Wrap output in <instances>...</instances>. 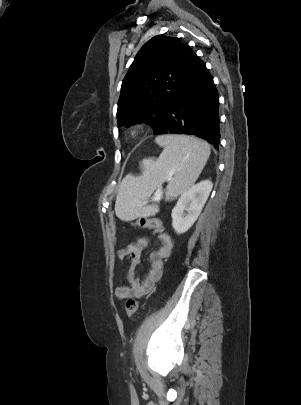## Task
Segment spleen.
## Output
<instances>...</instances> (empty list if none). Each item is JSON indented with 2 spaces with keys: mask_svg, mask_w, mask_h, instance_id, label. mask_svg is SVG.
<instances>
[{
  "mask_svg": "<svg viewBox=\"0 0 301 405\" xmlns=\"http://www.w3.org/2000/svg\"><path fill=\"white\" fill-rule=\"evenodd\" d=\"M155 141L164 148L159 158L144 159L142 175H127L121 182L115 203L116 216L121 220L154 214L157 208L145 207V201L165 179H169L166 194L171 198L184 193L195 183L210 156L209 144L194 137L163 135Z\"/></svg>",
  "mask_w": 301,
  "mask_h": 405,
  "instance_id": "3e777b00",
  "label": "spleen"
}]
</instances>
